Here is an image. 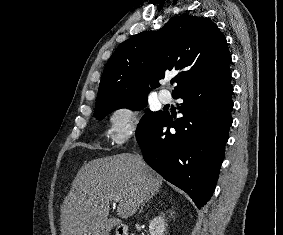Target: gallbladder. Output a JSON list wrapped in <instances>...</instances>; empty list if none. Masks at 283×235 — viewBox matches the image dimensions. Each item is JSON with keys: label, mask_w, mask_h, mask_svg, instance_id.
<instances>
[{"label": "gallbladder", "mask_w": 283, "mask_h": 235, "mask_svg": "<svg viewBox=\"0 0 283 235\" xmlns=\"http://www.w3.org/2000/svg\"><path fill=\"white\" fill-rule=\"evenodd\" d=\"M109 221L112 223L113 226L118 224V220L116 218H111Z\"/></svg>", "instance_id": "gallbladder-1"}]
</instances>
